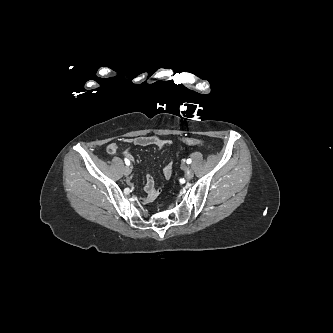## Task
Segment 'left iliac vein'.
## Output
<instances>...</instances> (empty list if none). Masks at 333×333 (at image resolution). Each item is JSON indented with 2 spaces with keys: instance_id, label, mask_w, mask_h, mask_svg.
<instances>
[{
  "instance_id": "left-iliac-vein-1",
  "label": "left iliac vein",
  "mask_w": 333,
  "mask_h": 333,
  "mask_svg": "<svg viewBox=\"0 0 333 333\" xmlns=\"http://www.w3.org/2000/svg\"><path fill=\"white\" fill-rule=\"evenodd\" d=\"M183 170L185 171V178L187 180H191L193 178V175H194L192 169L188 166H184Z\"/></svg>"
}]
</instances>
